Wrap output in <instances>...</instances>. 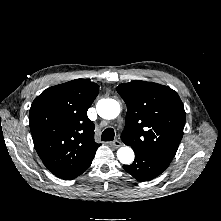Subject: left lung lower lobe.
<instances>
[{"mask_svg": "<svg viewBox=\"0 0 221 221\" xmlns=\"http://www.w3.org/2000/svg\"><path fill=\"white\" fill-rule=\"evenodd\" d=\"M135 160L131 165L123 168L139 181L151 180L160 175L170 164L171 159L151 155L140 149H133Z\"/></svg>", "mask_w": 221, "mask_h": 221, "instance_id": "obj_1", "label": "left lung lower lobe"}]
</instances>
